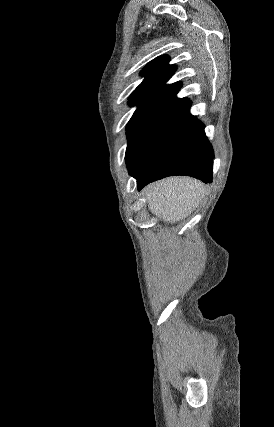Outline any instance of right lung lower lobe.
Instances as JSON below:
<instances>
[{"label":"right lung lower lobe","instance_id":"1","mask_svg":"<svg viewBox=\"0 0 274 427\" xmlns=\"http://www.w3.org/2000/svg\"><path fill=\"white\" fill-rule=\"evenodd\" d=\"M191 102L174 105L159 133L136 166L128 168L138 190L171 175H188L211 182L214 158L204 125L189 113Z\"/></svg>","mask_w":274,"mask_h":427}]
</instances>
